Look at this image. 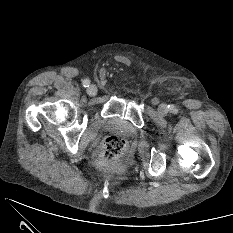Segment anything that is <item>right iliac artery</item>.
<instances>
[{
	"mask_svg": "<svg viewBox=\"0 0 233 233\" xmlns=\"http://www.w3.org/2000/svg\"><path fill=\"white\" fill-rule=\"evenodd\" d=\"M82 85H83V87H89V85H90V80H89V79L83 80Z\"/></svg>",
	"mask_w": 233,
	"mask_h": 233,
	"instance_id": "obj_1",
	"label": "right iliac artery"
}]
</instances>
